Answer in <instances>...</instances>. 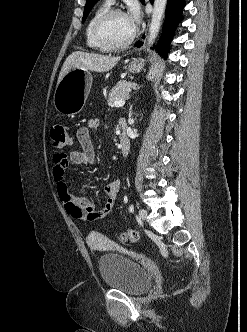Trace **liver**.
Masks as SVG:
<instances>
[{
  "mask_svg": "<svg viewBox=\"0 0 247 332\" xmlns=\"http://www.w3.org/2000/svg\"><path fill=\"white\" fill-rule=\"evenodd\" d=\"M120 60V57L107 56L96 53H86L82 51H75L70 54L65 60L59 77L58 83L65 76V74L72 68H81L94 72H107L111 70Z\"/></svg>",
  "mask_w": 247,
  "mask_h": 332,
  "instance_id": "obj_1",
  "label": "liver"
}]
</instances>
